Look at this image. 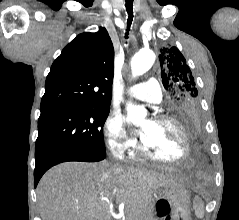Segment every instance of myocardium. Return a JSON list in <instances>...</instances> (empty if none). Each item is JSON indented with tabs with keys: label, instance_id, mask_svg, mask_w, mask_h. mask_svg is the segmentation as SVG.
Instances as JSON below:
<instances>
[{
	"label": "myocardium",
	"instance_id": "f54148a6",
	"mask_svg": "<svg viewBox=\"0 0 239 220\" xmlns=\"http://www.w3.org/2000/svg\"><path fill=\"white\" fill-rule=\"evenodd\" d=\"M152 120H154L156 122H161V123H170V124L175 125L179 129V131L182 135V138H183V143H184L183 154L177 159H166V158L157 156L146 147L143 140L141 141V143L139 145L140 153L143 156H145L146 158L156 161V162H160V163L178 164V163L185 161L189 157L190 151H191L189 135L187 133L185 126L178 119H176L173 116L167 115V114H157L153 117Z\"/></svg>",
	"mask_w": 239,
	"mask_h": 220
}]
</instances>
